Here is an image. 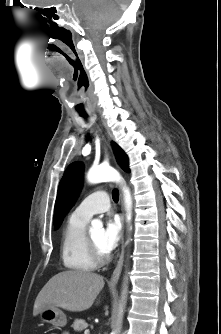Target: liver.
<instances>
[{
    "label": "liver",
    "instance_id": "obj_1",
    "mask_svg": "<svg viewBox=\"0 0 221 334\" xmlns=\"http://www.w3.org/2000/svg\"><path fill=\"white\" fill-rule=\"evenodd\" d=\"M103 277L91 272L63 271L54 275L39 292L33 309L38 315L47 308H63L72 312L89 309L102 288Z\"/></svg>",
    "mask_w": 221,
    "mask_h": 334
}]
</instances>
